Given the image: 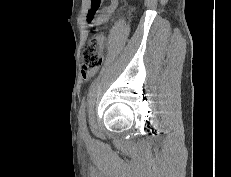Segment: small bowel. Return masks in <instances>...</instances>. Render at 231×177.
Returning a JSON list of instances; mask_svg holds the SVG:
<instances>
[{
	"label": "small bowel",
	"mask_w": 231,
	"mask_h": 177,
	"mask_svg": "<svg viewBox=\"0 0 231 177\" xmlns=\"http://www.w3.org/2000/svg\"><path fill=\"white\" fill-rule=\"evenodd\" d=\"M102 0H92V7L89 11L88 21L90 26H98L104 23L109 15L117 8L118 0H110L107 7L101 8ZM94 71L83 72L82 77L87 80L93 75Z\"/></svg>",
	"instance_id": "obj_1"
}]
</instances>
